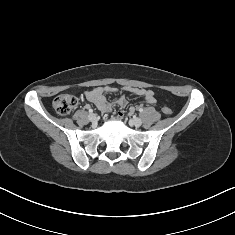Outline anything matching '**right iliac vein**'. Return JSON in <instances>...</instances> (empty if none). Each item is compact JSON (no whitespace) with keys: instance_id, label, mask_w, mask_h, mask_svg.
Segmentation results:
<instances>
[{"instance_id":"1","label":"right iliac vein","mask_w":235,"mask_h":235,"mask_svg":"<svg viewBox=\"0 0 235 235\" xmlns=\"http://www.w3.org/2000/svg\"><path fill=\"white\" fill-rule=\"evenodd\" d=\"M89 120L94 123L97 121V116L95 114L91 113V114H89Z\"/></svg>"}]
</instances>
